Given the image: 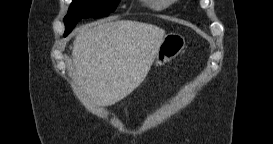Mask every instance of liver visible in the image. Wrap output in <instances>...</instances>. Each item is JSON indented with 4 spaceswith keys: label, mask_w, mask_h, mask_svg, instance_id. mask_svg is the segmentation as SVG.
<instances>
[{
    "label": "liver",
    "mask_w": 273,
    "mask_h": 144,
    "mask_svg": "<svg viewBox=\"0 0 273 144\" xmlns=\"http://www.w3.org/2000/svg\"><path fill=\"white\" fill-rule=\"evenodd\" d=\"M164 36L158 26L131 20L86 27L72 50L80 89L102 106L121 101L147 76Z\"/></svg>",
    "instance_id": "obj_1"
}]
</instances>
